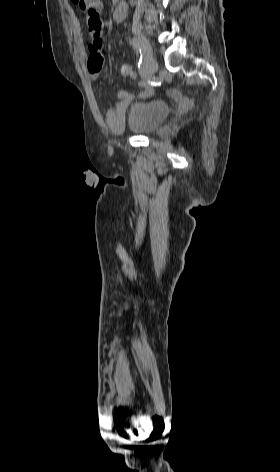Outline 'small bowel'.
Here are the masks:
<instances>
[{
  "instance_id": "1",
  "label": "small bowel",
  "mask_w": 280,
  "mask_h": 472,
  "mask_svg": "<svg viewBox=\"0 0 280 472\" xmlns=\"http://www.w3.org/2000/svg\"><path fill=\"white\" fill-rule=\"evenodd\" d=\"M124 4V3H122ZM125 5V4H124ZM126 6V5H125ZM88 33L90 36L89 57L87 61L88 72L92 79L101 75L103 70L104 57L103 49V31L101 20L98 23H92L88 20ZM144 91L140 97L148 96L152 93L151 88L145 83L140 82ZM134 97L126 90H120L117 93V102L107 111V122L110 128L116 129L120 126L125 110Z\"/></svg>"
}]
</instances>
